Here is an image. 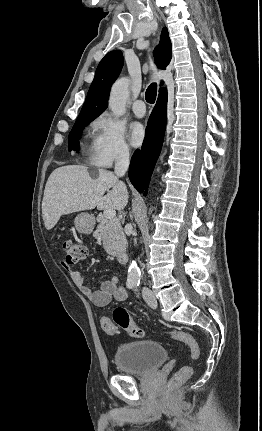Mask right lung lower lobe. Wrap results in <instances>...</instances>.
<instances>
[{"instance_id":"98d812e1","label":"right lung lower lobe","mask_w":262,"mask_h":431,"mask_svg":"<svg viewBox=\"0 0 262 431\" xmlns=\"http://www.w3.org/2000/svg\"><path fill=\"white\" fill-rule=\"evenodd\" d=\"M166 120L167 93L165 89L159 92L156 105L150 115L142 149L132 156L129 166L130 181L139 192H143L149 184L163 143Z\"/></svg>"}]
</instances>
